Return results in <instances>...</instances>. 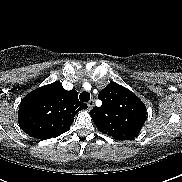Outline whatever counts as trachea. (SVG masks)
Here are the masks:
<instances>
[{"label": "trachea", "mask_w": 182, "mask_h": 182, "mask_svg": "<svg viewBox=\"0 0 182 182\" xmlns=\"http://www.w3.org/2000/svg\"><path fill=\"white\" fill-rule=\"evenodd\" d=\"M80 101L82 102H88L90 100V93L89 92H82L79 96Z\"/></svg>", "instance_id": "trachea-1"}]
</instances>
